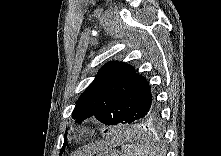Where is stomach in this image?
<instances>
[{
	"mask_svg": "<svg viewBox=\"0 0 221 156\" xmlns=\"http://www.w3.org/2000/svg\"><path fill=\"white\" fill-rule=\"evenodd\" d=\"M97 156H124L121 152L113 149H102L99 151Z\"/></svg>",
	"mask_w": 221,
	"mask_h": 156,
	"instance_id": "stomach-1",
	"label": "stomach"
}]
</instances>
